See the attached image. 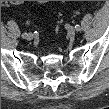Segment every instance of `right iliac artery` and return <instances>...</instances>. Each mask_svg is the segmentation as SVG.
<instances>
[{
  "label": "right iliac artery",
  "mask_w": 109,
  "mask_h": 109,
  "mask_svg": "<svg viewBox=\"0 0 109 109\" xmlns=\"http://www.w3.org/2000/svg\"><path fill=\"white\" fill-rule=\"evenodd\" d=\"M26 34H27V33H23V34H22V37L25 38Z\"/></svg>",
  "instance_id": "82829eb1"
}]
</instances>
